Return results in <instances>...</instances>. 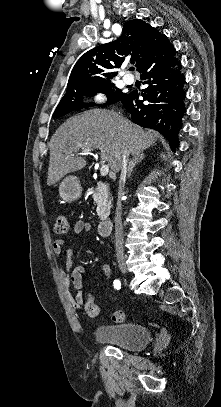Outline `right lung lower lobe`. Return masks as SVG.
<instances>
[{
  "label": "right lung lower lobe",
  "mask_w": 221,
  "mask_h": 407,
  "mask_svg": "<svg viewBox=\"0 0 221 407\" xmlns=\"http://www.w3.org/2000/svg\"><path fill=\"white\" fill-rule=\"evenodd\" d=\"M174 54L175 49L169 43L160 56L140 71L143 84L148 85L142 90L143 100L138 99L137 91H132L117 102H122L134 123L157 130L173 147H177L178 131L186 112L185 77Z\"/></svg>",
  "instance_id": "98d812e1"
}]
</instances>
